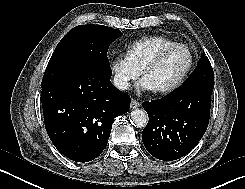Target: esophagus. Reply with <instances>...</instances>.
Listing matches in <instances>:
<instances>
[{
	"instance_id": "esophagus-1",
	"label": "esophagus",
	"mask_w": 245,
	"mask_h": 189,
	"mask_svg": "<svg viewBox=\"0 0 245 189\" xmlns=\"http://www.w3.org/2000/svg\"><path fill=\"white\" fill-rule=\"evenodd\" d=\"M140 106H141V104H140L138 101H136V100H134V99L131 100V104H130V108H131V109H137V108H139Z\"/></svg>"
}]
</instances>
